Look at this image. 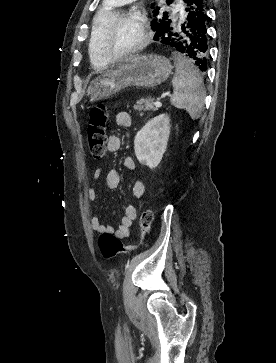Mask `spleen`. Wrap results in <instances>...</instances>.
<instances>
[{"mask_svg": "<svg viewBox=\"0 0 276 363\" xmlns=\"http://www.w3.org/2000/svg\"><path fill=\"white\" fill-rule=\"evenodd\" d=\"M176 67L172 79L173 95L171 103L178 109H184L195 120L203 111L205 89L203 79L192 61L180 53H173Z\"/></svg>", "mask_w": 276, "mask_h": 363, "instance_id": "spleen-1", "label": "spleen"}]
</instances>
